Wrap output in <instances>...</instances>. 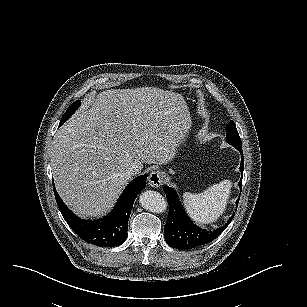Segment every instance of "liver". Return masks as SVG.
<instances>
[{
	"label": "liver",
	"instance_id": "6515ba94",
	"mask_svg": "<svg viewBox=\"0 0 307 307\" xmlns=\"http://www.w3.org/2000/svg\"><path fill=\"white\" fill-rule=\"evenodd\" d=\"M191 126L181 94L157 87L108 89L84 98L56 132L55 189L79 219H102L144 163L163 164Z\"/></svg>",
	"mask_w": 307,
	"mask_h": 307
}]
</instances>
